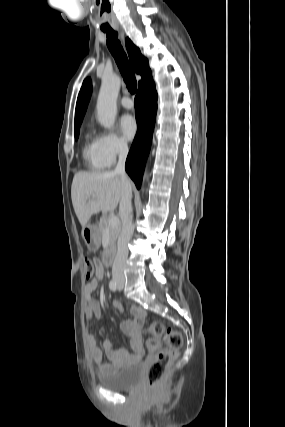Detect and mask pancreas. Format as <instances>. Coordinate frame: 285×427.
<instances>
[{
	"mask_svg": "<svg viewBox=\"0 0 285 427\" xmlns=\"http://www.w3.org/2000/svg\"><path fill=\"white\" fill-rule=\"evenodd\" d=\"M120 224L116 227H111L108 229V218L106 216H103L100 219V222L98 224V232L100 234V237L103 238V235L106 231L109 232V246L112 247L115 245L118 235L120 233Z\"/></svg>",
	"mask_w": 285,
	"mask_h": 427,
	"instance_id": "1",
	"label": "pancreas"
}]
</instances>
